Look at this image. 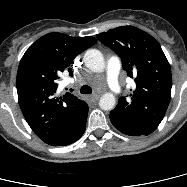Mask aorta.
Returning <instances> with one entry per match:
<instances>
[{
  "label": "aorta",
  "mask_w": 187,
  "mask_h": 187,
  "mask_svg": "<svg viewBox=\"0 0 187 187\" xmlns=\"http://www.w3.org/2000/svg\"><path fill=\"white\" fill-rule=\"evenodd\" d=\"M85 66L93 72H102L105 69V60L102 53L97 49H89L84 54ZM116 99L113 93H105L101 96L99 106L104 111L114 109Z\"/></svg>",
  "instance_id": "aorta-1"
}]
</instances>
